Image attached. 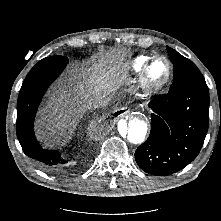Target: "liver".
Instances as JSON below:
<instances>
[{"mask_svg":"<svg viewBox=\"0 0 221 221\" xmlns=\"http://www.w3.org/2000/svg\"><path fill=\"white\" fill-rule=\"evenodd\" d=\"M80 70L79 74L77 69L71 71L68 85L54 89L40 111L37 133L41 137L50 140L71 135L79 119L90 109L92 100L103 94L111 95L122 85L126 73L125 52L118 50Z\"/></svg>","mask_w":221,"mask_h":221,"instance_id":"liver-1","label":"liver"}]
</instances>
